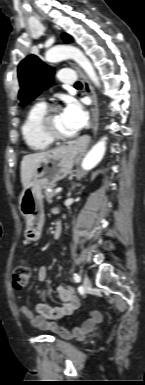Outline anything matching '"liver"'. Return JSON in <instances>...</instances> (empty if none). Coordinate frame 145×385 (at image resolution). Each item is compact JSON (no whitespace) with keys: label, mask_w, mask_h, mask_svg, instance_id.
Returning a JSON list of instances; mask_svg holds the SVG:
<instances>
[{"label":"liver","mask_w":145,"mask_h":385,"mask_svg":"<svg viewBox=\"0 0 145 385\" xmlns=\"http://www.w3.org/2000/svg\"><path fill=\"white\" fill-rule=\"evenodd\" d=\"M53 150L37 152L25 155L21 162V182L23 189H26L35 173L38 164Z\"/></svg>","instance_id":"1"}]
</instances>
